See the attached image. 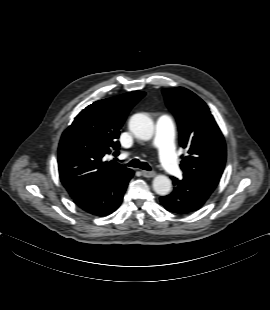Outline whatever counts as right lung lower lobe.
I'll return each mask as SVG.
<instances>
[{
	"mask_svg": "<svg viewBox=\"0 0 270 310\" xmlns=\"http://www.w3.org/2000/svg\"><path fill=\"white\" fill-rule=\"evenodd\" d=\"M133 175L127 168L95 186L71 191L69 195L82 210L96 216L109 215L121 204Z\"/></svg>",
	"mask_w": 270,
	"mask_h": 310,
	"instance_id": "1",
	"label": "right lung lower lobe"
}]
</instances>
